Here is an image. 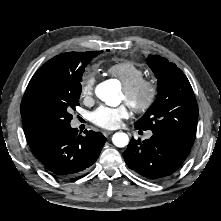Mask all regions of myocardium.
Instances as JSON below:
<instances>
[{
    "instance_id": "myocardium-1",
    "label": "myocardium",
    "mask_w": 221,
    "mask_h": 221,
    "mask_svg": "<svg viewBox=\"0 0 221 221\" xmlns=\"http://www.w3.org/2000/svg\"><path fill=\"white\" fill-rule=\"evenodd\" d=\"M123 91L130 107L138 113L152 108L158 96V84L155 79L143 77L134 83L124 85Z\"/></svg>"
}]
</instances>
